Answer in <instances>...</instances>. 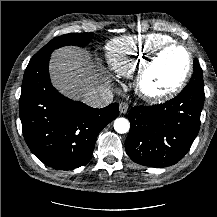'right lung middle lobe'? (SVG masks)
Listing matches in <instances>:
<instances>
[{"label": "right lung middle lobe", "instance_id": "dd1d6c3e", "mask_svg": "<svg viewBox=\"0 0 217 217\" xmlns=\"http://www.w3.org/2000/svg\"><path fill=\"white\" fill-rule=\"evenodd\" d=\"M93 33H74L66 34L60 37L52 39L47 45L41 48L37 54H35L29 63L41 60L62 46L66 45H78L80 47L86 46L92 40Z\"/></svg>", "mask_w": 217, "mask_h": 217}]
</instances>
